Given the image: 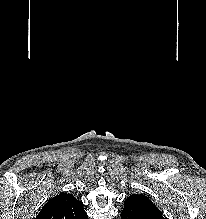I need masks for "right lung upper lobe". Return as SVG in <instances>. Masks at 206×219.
Wrapping results in <instances>:
<instances>
[{
	"label": "right lung upper lobe",
	"mask_w": 206,
	"mask_h": 219,
	"mask_svg": "<svg viewBox=\"0 0 206 219\" xmlns=\"http://www.w3.org/2000/svg\"><path fill=\"white\" fill-rule=\"evenodd\" d=\"M36 219H88L83 203L72 194L60 193L50 199Z\"/></svg>",
	"instance_id": "cb5924a9"
}]
</instances>
